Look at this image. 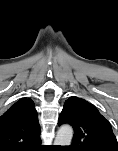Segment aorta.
Here are the masks:
<instances>
[{"label":"aorta","mask_w":118,"mask_h":151,"mask_svg":"<svg viewBox=\"0 0 118 151\" xmlns=\"http://www.w3.org/2000/svg\"><path fill=\"white\" fill-rule=\"evenodd\" d=\"M73 138V129L69 125H63L59 128L54 141L55 145L70 146Z\"/></svg>","instance_id":"762f6f07"}]
</instances>
